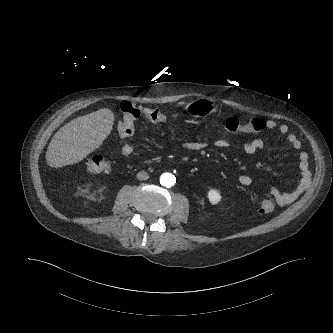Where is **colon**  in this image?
<instances>
[{"label":"colon","mask_w":333,"mask_h":333,"mask_svg":"<svg viewBox=\"0 0 333 333\" xmlns=\"http://www.w3.org/2000/svg\"><path fill=\"white\" fill-rule=\"evenodd\" d=\"M123 118L118 124V132L121 137L127 138L134 134L135 122L140 116L153 123H165L168 116L156 108H147L133 105L130 102L122 103ZM266 122L260 118L240 120L229 117L225 121V128L230 132L257 133L263 130ZM111 169L110 161L100 155L93 156L86 163V170L92 174L108 172ZM258 210L262 214H270L275 210V203L271 199H263L258 204Z\"/></svg>","instance_id":"obj_1"}]
</instances>
